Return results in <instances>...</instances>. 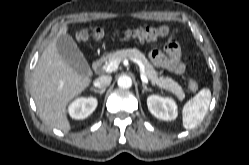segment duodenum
I'll return each instance as SVG.
<instances>
[{
    "instance_id": "410a0bca",
    "label": "duodenum",
    "mask_w": 249,
    "mask_h": 165,
    "mask_svg": "<svg viewBox=\"0 0 249 165\" xmlns=\"http://www.w3.org/2000/svg\"><path fill=\"white\" fill-rule=\"evenodd\" d=\"M103 62H104L103 58H97V59H95L93 61V63H92V70L95 71V72H97L101 68Z\"/></svg>"
}]
</instances>
